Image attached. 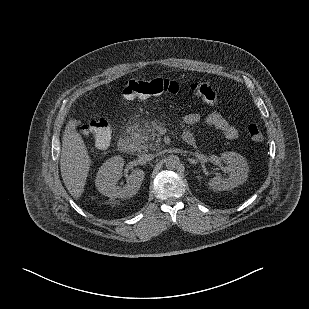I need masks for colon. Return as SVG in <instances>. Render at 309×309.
I'll return each mask as SVG.
<instances>
[{"instance_id": "5ec220e1", "label": "colon", "mask_w": 309, "mask_h": 309, "mask_svg": "<svg viewBox=\"0 0 309 309\" xmlns=\"http://www.w3.org/2000/svg\"><path fill=\"white\" fill-rule=\"evenodd\" d=\"M121 94L126 100L145 99L160 94L175 96L191 95L194 99L213 106L216 102V92L208 82L192 83L181 87L178 83L167 79L156 78L150 81L124 80L121 83ZM84 134H91L97 145L105 147L112 138L111 120L107 115H101L91 120L85 127ZM248 134L252 141L261 143L263 134L256 124L248 126Z\"/></svg>"}]
</instances>
